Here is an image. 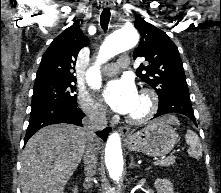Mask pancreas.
Listing matches in <instances>:
<instances>
[{
	"label": "pancreas",
	"mask_w": 221,
	"mask_h": 193,
	"mask_svg": "<svg viewBox=\"0 0 221 193\" xmlns=\"http://www.w3.org/2000/svg\"><path fill=\"white\" fill-rule=\"evenodd\" d=\"M175 163V157H169L165 161L159 162L158 165L167 167Z\"/></svg>",
	"instance_id": "obj_1"
}]
</instances>
